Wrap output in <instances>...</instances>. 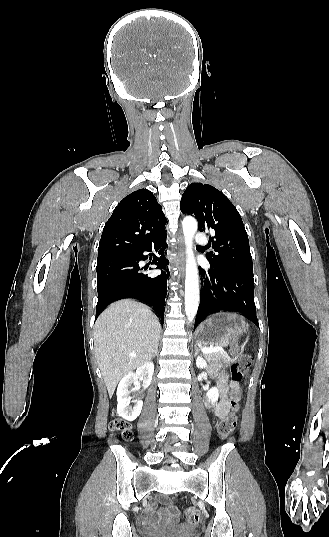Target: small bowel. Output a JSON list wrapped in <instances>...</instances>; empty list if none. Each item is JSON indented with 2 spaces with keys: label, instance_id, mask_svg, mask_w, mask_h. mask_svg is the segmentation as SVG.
Here are the masks:
<instances>
[{
  "label": "small bowel",
  "instance_id": "1",
  "mask_svg": "<svg viewBox=\"0 0 329 537\" xmlns=\"http://www.w3.org/2000/svg\"><path fill=\"white\" fill-rule=\"evenodd\" d=\"M217 373V369L214 370ZM239 383L235 380L227 381L225 374L218 373L217 392L220 396L219 402L214 407V414L217 421H223L230 413V402L227 398L229 389H238ZM206 407L212 408V403L209 398L206 399ZM166 501H168L166 499ZM145 517L148 521L159 520L166 526L176 525L179 520V511L174 505H168L156 509L155 501H149L146 507Z\"/></svg>",
  "mask_w": 329,
  "mask_h": 537
}]
</instances>
